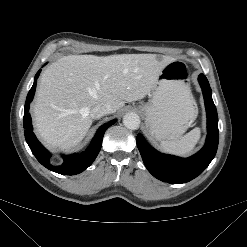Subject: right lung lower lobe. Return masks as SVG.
<instances>
[{"instance_id":"1","label":"right lung lower lobe","mask_w":247,"mask_h":247,"mask_svg":"<svg viewBox=\"0 0 247 247\" xmlns=\"http://www.w3.org/2000/svg\"><path fill=\"white\" fill-rule=\"evenodd\" d=\"M38 72L35 76V81L30 89L26 102H25V113H24V134L26 142L28 143L32 153L37 158V160L47 169L54 171L56 173L62 174V175H76L82 171H84L87 167H89L95 158L97 157L103 136L105 131L113 125L116 120H112L104 125H102L95 137L93 138L91 144L87 147V149L79 154H73L69 156L64 157V162L60 166H52L49 162L50 159V153L40 144V142L37 140L33 133L32 123H31V117L28 114L29 111V104L32 101L36 89V79L39 76Z\"/></svg>"}]
</instances>
